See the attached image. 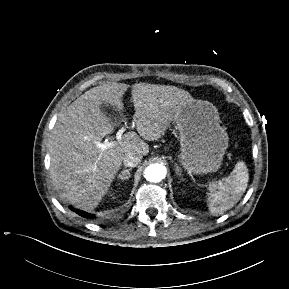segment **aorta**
Returning <instances> with one entry per match:
<instances>
[{
	"label": "aorta",
	"instance_id": "762f6f07",
	"mask_svg": "<svg viewBox=\"0 0 289 289\" xmlns=\"http://www.w3.org/2000/svg\"><path fill=\"white\" fill-rule=\"evenodd\" d=\"M166 176V168L162 164H150L144 170V177L149 182H160Z\"/></svg>",
	"mask_w": 289,
	"mask_h": 289
}]
</instances>
